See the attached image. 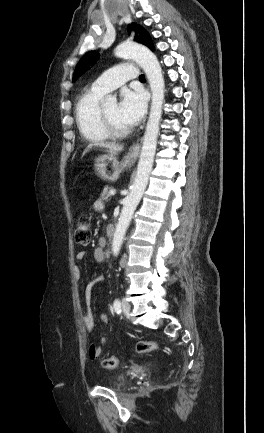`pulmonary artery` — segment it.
I'll use <instances>...</instances> for the list:
<instances>
[{"label":"pulmonary artery","mask_w":264,"mask_h":433,"mask_svg":"<svg viewBox=\"0 0 264 433\" xmlns=\"http://www.w3.org/2000/svg\"><path fill=\"white\" fill-rule=\"evenodd\" d=\"M138 78L137 68L133 64L122 63L116 65L100 77H98L92 84V88L101 93H109L128 80H135Z\"/></svg>","instance_id":"e3ab8cb5"}]
</instances>
